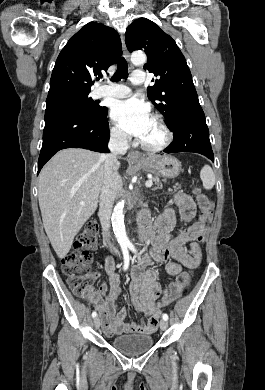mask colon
Wrapping results in <instances>:
<instances>
[{"label": "colon", "mask_w": 265, "mask_h": 390, "mask_svg": "<svg viewBox=\"0 0 265 390\" xmlns=\"http://www.w3.org/2000/svg\"><path fill=\"white\" fill-rule=\"evenodd\" d=\"M197 202L201 210V217L207 219L213 210L212 200L203 194L198 188L195 189ZM98 225L89 222L83 232L76 238L72 250L62 260V271L71 290L78 296L88 297L92 293V274L90 272L92 257L91 251L97 245ZM189 284V275L181 274L170 285L160 303L165 306L176 300Z\"/></svg>", "instance_id": "colon-1"}]
</instances>
